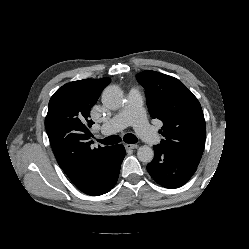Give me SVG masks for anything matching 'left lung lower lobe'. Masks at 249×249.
Listing matches in <instances>:
<instances>
[{
  "mask_svg": "<svg viewBox=\"0 0 249 249\" xmlns=\"http://www.w3.org/2000/svg\"><path fill=\"white\" fill-rule=\"evenodd\" d=\"M155 156L147 165L151 177L165 188L173 189L184 185L197 169L196 164L160 145L153 147Z\"/></svg>",
  "mask_w": 249,
  "mask_h": 249,
  "instance_id": "1",
  "label": "left lung lower lobe"
}]
</instances>
